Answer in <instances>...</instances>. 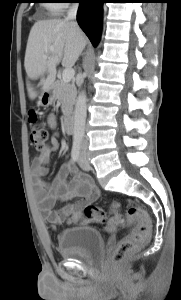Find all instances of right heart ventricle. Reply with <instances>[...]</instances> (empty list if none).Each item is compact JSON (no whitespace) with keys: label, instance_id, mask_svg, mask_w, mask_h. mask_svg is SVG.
I'll return each instance as SVG.
<instances>
[{"label":"right heart ventricle","instance_id":"obj_1","mask_svg":"<svg viewBox=\"0 0 181 300\" xmlns=\"http://www.w3.org/2000/svg\"><path fill=\"white\" fill-rule=\"evenodd\" d=\"M47 9L49 10V12L53 15H57L61 12V9L59 8L58 4L56 3H51V4H47Z\"/></svg>","mask_w":181,"mask_h":300}]
</instances>
